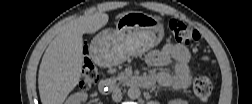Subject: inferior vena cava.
Returning <instances> with one entry per match:
<instances>
[{"instance_id":"602c4592","label":"inferior vena cava","mask_w":252,"mask_h":104,"mask_svg":"<svg viewBox=\"0 0 252 104\" xmlns=\"http://www.w3.org/2000/svg\"><path fill=\"white\" fill-rule=\"evenodd\" d=\"M112 99L115 102H120L122 99V92L119 88H115L112 92Z\"/></svg>"}]
</instances>
